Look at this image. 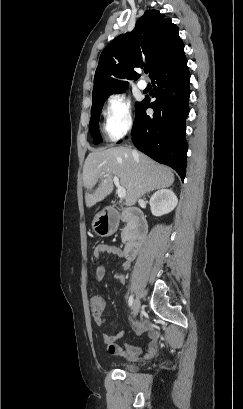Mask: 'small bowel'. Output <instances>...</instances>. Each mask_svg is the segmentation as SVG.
Instances as JSON below:
<instances>
[{
  "instance_id": "1",
  "label": "small bowel",
  "mask_w": 243,
  "mask_h": 409,
  "mask_svg": "<svg viewBox=\"0 0 243 409\" xmlns=\"http://www.w3.org/2000/svg\"><path fill=\"white\" fill-rule=\"evenodd\" d=\"M106 254L125 258L121 264V268L123 270H128L130 268L129 260L125 257L124 252L119 247L109 244H99L93 251V258L96 266L95 279L97 282L102 281L105 276V269L102 265V257ZM114 278L122 284H124L126 281L125 275L120 273H116ZM94 321L98 327H104L106 325L107 320L105 316L104 300L103 307L94 311ZM143 334H147L149 338L146 348L132 344H118L117 340L124 336L123 332H118L114 335L103 334V341L106 344L109 353L124 357L128 361H137L141 357L143 359H152L159 352V335L154 329L151 328L148 322H142L136 328L137 336H141Z\"/></svg>"
}]
</instances>
